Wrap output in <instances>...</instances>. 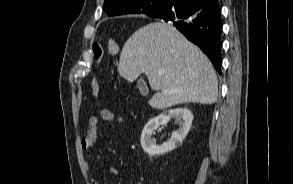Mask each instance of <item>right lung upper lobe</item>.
<instances>
[{"mask_svg":"<svg viewBox=\"0 0 293 184\" xmlns=\"http://www.w3.org/2000/svg\"><path fill=\"white\" fill-rule=\"evenodd\" d=\"M156 1L162 0H105L103 10L109 16H118L126 14H146L147 16L154 17L159 13L152 14L150 12V6ZM179 0H166V6L164 9L173 6ZM204 3V6H208L217 2L218 0H196ZM163 9V10H164Z\"/></svg>","mask_w":293,"mask_h":184,"instance_id":"right-lung-upper-lobe-1","label":"right lung upper lobe"}]
</instances>
